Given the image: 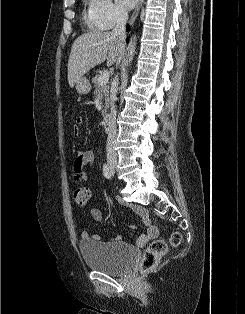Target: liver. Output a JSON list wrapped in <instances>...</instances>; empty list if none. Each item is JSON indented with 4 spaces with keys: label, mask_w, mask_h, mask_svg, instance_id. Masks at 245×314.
I'll use <instances>...</instances> for the list:
<instances>
[{
    "label": "liver",
    "mask_w": 245,
    "mask_h": 314,
    "mask_svg": "<svg viewBox=\"0 0 245 314\" xmlns=\"http://www.w3.org/2000/svg\"><path fill=\"white\" fill-rule=\"evenodd\" d=\"M121 44L110 31H90L73 43L68 59V82L74 87L90 69L107 60L111 66L119 59Z\"/></svg>",
    "instance_id": "liver-1"
}]
</instances>
